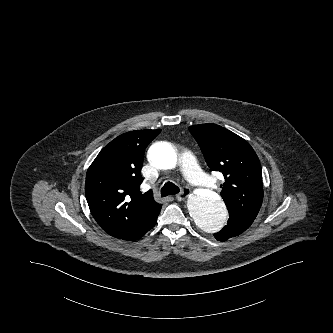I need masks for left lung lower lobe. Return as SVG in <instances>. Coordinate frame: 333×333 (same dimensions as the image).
Masks as SVG:
<instances>
[{
    "label": "left lung lower lobe",
    "instance_id": "left-lung-lower-lobe-1",
    "mask_svg": "<svg viewBox=\"0 0 333 333\" xmlns=\"http://www.w3.org/2000/svg\"><path fill=\"white\" fill-rule=\"evenodd\" d=\"M254 220L243 218L237 214H229L227 225L215 233L214 236L219 241H225L228 238L237 236L248 229Z\"/></svg>",
    "mask_w": 333,
    "mask_h": 333
}]
</instances>
